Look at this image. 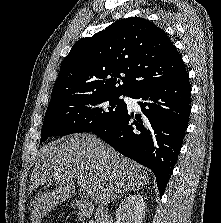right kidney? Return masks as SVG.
<instances>
[{
    "mask_svg": "<svg viewBox=\"0 0 221 223\" xmlns=\"http://www.w3.org/2000/svg\"><path fill=\"white\" fill-rule=\"evenodd\" d=\"M144 217L145 202L141 195L127 196L116 211L118 223H142Z\"/></svg>",
    "mask_w": 221,
    "mask_h": 223,
    "instance_id": "obj_1",
    "label": "right kidney"
}]
</instances>
